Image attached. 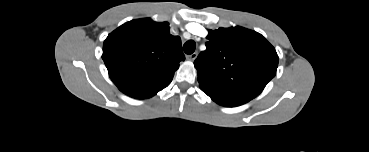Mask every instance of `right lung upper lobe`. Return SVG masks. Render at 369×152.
<instances>
[{
	"label": "right lung upper lobe",
	"instance_id": "1",
	"mask_svg": "<svg viewBox=\"0 0 369 152\" xmlns=\"http://www.w3.org/2000/svg\"><path fill=\"white\" fill-rule=\"evenodd\" d=\"M102 58L120 91L147 99L167 87L185 59L181 39L172 36L167 22L149 18L129 21L104 41Z\"/></svg>",
	"mask_w": 369,
	"mask_h": 152
}]
</instances>
